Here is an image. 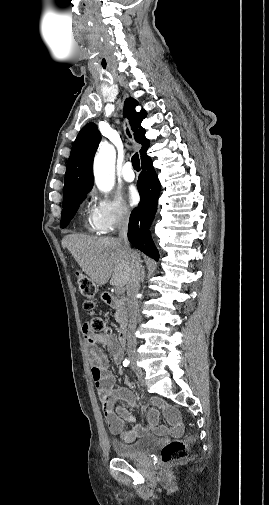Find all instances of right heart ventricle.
<instances>
[{
	"label": "right heart ventricle",
	"instance_id": "e07e8e85",
	"mask_svg": "<svg viewBox=\"0 0 269 505\" xmlns=\"http://www.w3.org/2000/svg\"><path fill=\"white\" fill-rule=\"evenodd\" d=\"M84 224H85L86 228L89 230H97L94 223H93L92 211H88V213L85 217V220H84Z\"/></svg>",
	"mask_w": 269,
	"mask_h": 505
}]
</instances>
